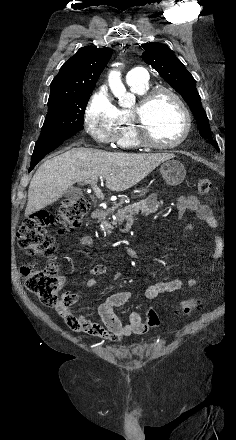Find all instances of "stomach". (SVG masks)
I'll list each match as a JSON object with an SVG mask.
<instances>
[{
  "instance_id": "0dacf381",
  "label": "stomach",
  "mask_w": 236,
  "mask_h": 440,
  "mask_svg": "<svg viewBox=\"0 0 236 440\" xmlns=\"http://www.w3.org/2000/svg\"><path fill=\"white\" fill-rule=\"evenodd\" d=\"M162 178L170 186H177L183 182L185 179L186 171L184 166L177 160L168 159L163 162L159 169ZM145 194L140 193V196ZM123 203V200H121Z\"/></svg>"
}]
</instances>
